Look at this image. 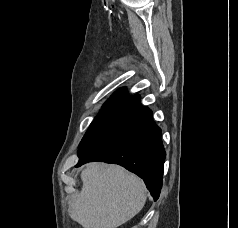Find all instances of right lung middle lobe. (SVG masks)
I'll list each match as a JSON object with an SVG mask.
<instances>
[{"label": "right lung middle lobe", "mask_w": 238, "mask_h": 228, "mask_svg": "<svg viewBox=\"0 0 238 228\" xmlns=\"http://www.w3.org/2000/svg\"><path fill=\"white\" fill-rule=\"evenodd\" d=\"M117 116H96L94 121L91 123L86 134L82 138V141L79 144L81 148L84 144L90 141L94 136H96L100 131L107 127L111 122L118 119Z\"/></svg>", "instance_id": "right-lung-middle-lobe-1"}]
</instances>
